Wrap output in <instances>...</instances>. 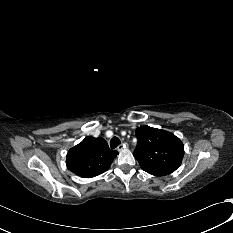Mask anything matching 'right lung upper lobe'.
I'll list each match as a JSON object with an SVG mask.
<instances>
[{
	"label": "right lung upper lobe",
	"mask_w": 233,
	"mask_h": 233,
	"mask_svg": "<svg viewBox=\"0 0 233 233\" xmlns=\"http://www.w3.org/2000/svg\"><path fill=\"white\" fill-rule=\"evenodd\" d=\"M117 155L104 138L89 136L68 151L66 165L76 175L92 178L107 171Z\"/></svg>",
	"instance_id": "obj_1"
}]
</instances>
